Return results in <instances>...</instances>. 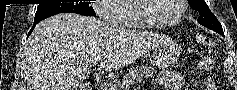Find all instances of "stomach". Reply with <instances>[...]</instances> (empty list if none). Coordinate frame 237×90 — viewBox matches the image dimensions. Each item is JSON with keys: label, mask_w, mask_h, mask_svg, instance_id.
Listing matches in <instances>:
<instances>
[{"label": "stomach", "mask_w": 237, "mask_h": 90, "mask_svg": "<svg viewBox=\"0 0 237 90\" xmlns=\"http://www.w3.org/2000/svg\"><path fill=\"white\" fill-rule=\"evenodd\" d=\"M179 58V52L175 48H168L165 51L155 52V62L159 67L172 66Z\"/></svg>", "instance_id": "1"}]
</instances>
